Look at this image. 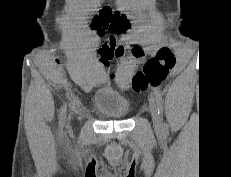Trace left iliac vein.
<instances>
[{
	"label": "left iliac vein",
	"instance_id": "left-iliac-vein-1",
	"mask_svg": "<svg viewBox=\"0 0 231 177\" xmlns=\"http://www.w3.org/2000/svg\"><path fill=\"white\" fill-rule=\"evenodd\" d=\"M149 110H150V113L152 116L153 125H154L155 129L160 130V128H161L160 116H159L156 104H155L154 100H152V99L149 100Z\"/></svg>",
	"mask_w": 231,
	"mask_h": 177
}]
</instances>
